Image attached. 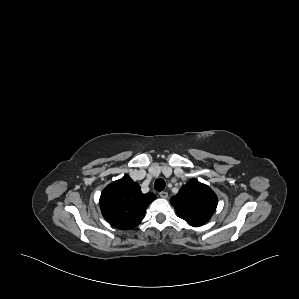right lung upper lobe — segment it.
Listing matches in <instances>:
<instances>
[{
  "label": "right lung upper lobe",
  "mask_w": 299,
  "mask_h": 299,
  "mask_svg": "<svg viewBox=\"0 0 299 299\" xmlns=\"http://www.w3.org/2000/svg\"><path fill=\"white\" fill-rule=\"evenodd\" d=\"M155 199L151 192L143 194L139 184L125 175L102 191L100 208L104 218L114 227L132 229L142 221L145 209Z\"/></svg>",
  "instance_id": "cb5924a9"
}]
</instances>
